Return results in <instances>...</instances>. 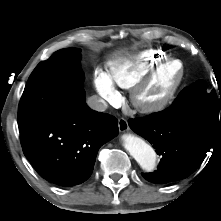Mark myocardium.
<instances>
[{
	"label": "myocardium",
	"mask_w": 221,
	"mask_h": 221,
	"mask_svg": "<svg viewBox=\"0 0 221 221\" xmlns=\"http://www.w3.org/2000/svg\"><path fill=\"white\" fill-rule=\"evenodd\" d=\"M178 62L181 65V73L171 88V90L162 98L157 100H147L143 97L144 90L153 81L157 73L166 65ZM186 77V68L182 60L177 58H167L156 64L143 78L136 82L130 89V101L133 107L143 114H156L165 110L172 104L181 89Z\"/></svg>",
	"instance_id": "f54148a6"
}]
</instances>
